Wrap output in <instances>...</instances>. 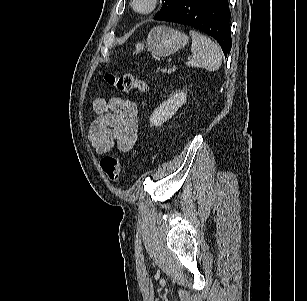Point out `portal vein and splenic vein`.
I'll return each instance as SVG.
<instances>
[{"label": "portal vein and splenic vein", "mask_w": 307, "mask_h": 301, "mask_svg": "<svg viewBox=\"0 0 307 301\" xmlns=\"http://www.w3.org/2000/svg\"><path fill=\"white\" fill-rule=\"evenodd\" d=\"M163 72H164V73H169V70L164 69Z\"/></svg>", "instance_id": "1"}]
</instances>
